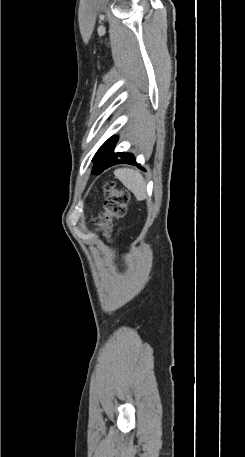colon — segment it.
I'll return each instance as SVG.
<instances>
[{
  "label": "colon",
  "instance_id": "obj_1",
  "mask_svg": "<svg viewBox=\"0 0 245 457\" xmlns=\"http://www.w3.org/2000/svg\"><path fill=\"white\" fill-rule=\"evenodd\" d=\"M104 192V211L99 215L97 225L107 237L111 232L113 220L125 216L129 194L126 190L117 188L113 181L106 182Z\"/></svg>",
  "mask_w": 245,
  "mask_h": 457
}]
</instances>
